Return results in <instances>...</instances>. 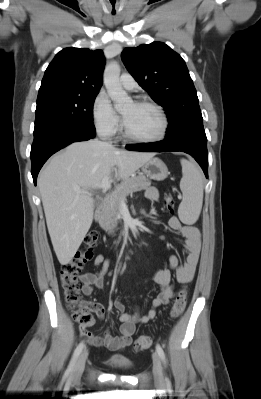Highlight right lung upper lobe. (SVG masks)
Masks as SVG:
<instances>
[{"mask_svg": "<svg viewBox=\"0 0 261 399\" xmlns=\"http://www.w3.org/2000/svg\"><path fill=\"white\" fill-rule=\"evenodd\" d=\"M105 58L102 50L65 48L47 67L38 97L51 94H98Z\"/></svg>", "mask_w": 261, "mask_h": 399, "instance_id": "obj_1", "label": "right lung upper lobe"}]
</instances>
